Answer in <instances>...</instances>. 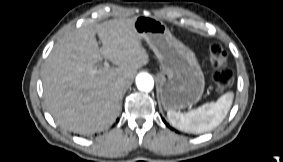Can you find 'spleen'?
I'll return each instance as SVG.
<instances>
[{
  "label": "spleen",
  "instance_id": "spleen-1",
  "mask_svg": "<svg viewBox=\"0 0 283 162\" xmlns=\"http://www.w3.org/2000/svg\"><path fill=\"white\" fill-rule=\"evenodd\" d=\"M233 99V92H227L215 103H206L187 113L168 110L167 118L179 130L195 134L204 133L214 129L224 120L232 106Z\"/></svg>",
  "mask_w": 283,
  "mask_h": 162
}]
</instances>
